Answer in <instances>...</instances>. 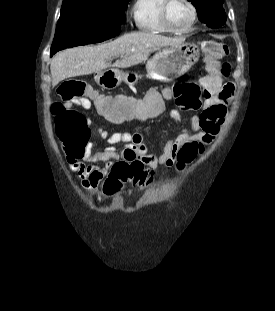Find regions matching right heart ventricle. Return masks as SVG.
I'll return each instance as SVG.
<instances>
[{
    "label": "right heart ventricle",
    "mask_w": 275,
    "mask_h": 311,
    "mask_svg": "<svg viewBox=\"0 0 275 311\" xmlns=\"http://www.w3.org/2000/svg\"><path fill=\"white\" fill-rule=\"evenodd\" d=\"M162 3L163 0H134L132 17L138 30L150 34L170 33L161 21Z\"/></svg>",
    "instance_id": "e07e8e85"
}]
</instances>
